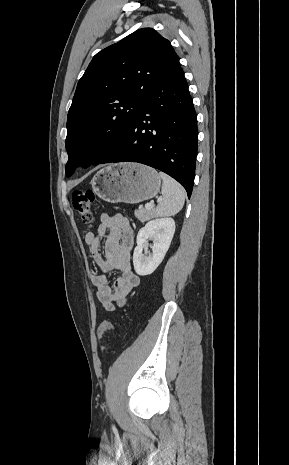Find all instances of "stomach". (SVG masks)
I'll use <instances>...</instances> for the list:
<instances>
[{"mask_svg":"<svg viewBox=\"0 0 289 465\" xmlns=\"http://www.w3.org/2000/svg\"><path fill=\"white\" fill-rule=\"evenodd\" d=\"M90 183L93 191L104 201L136 204L158 194L161 178L151 167L124 162L101 169Z\"/></svg>","mask_w":289,"mask_h":465,"instance_id":"0dacf381","label":"stomach"}]
</instances>
